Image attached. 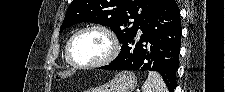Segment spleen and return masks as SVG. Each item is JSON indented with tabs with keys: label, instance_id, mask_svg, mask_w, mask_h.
<instances>
[{
	"label": "spleen",
	"instance_id": "3e777b00",
	"mask_svg": "<svg viewBox=\"0 0 225 92\" xmlns=\"http://www.w3.org/2000/svg\"><path fill=\"white\" fill-rule=\"evenodd\" d=\"M143 92H168L165 82L159 73L155 71H150L148 78L145 81L143 87Z\"/></svg>",
	"mask_w": 225,
	"mask_h": 92
}]
</instances>
